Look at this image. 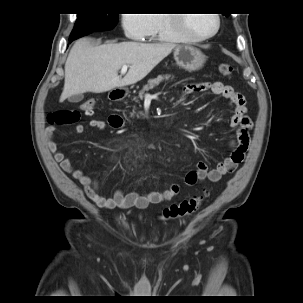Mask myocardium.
<instances>
[{
	"instance_id": "f54148a6",
	"label": "myocardium",
	"mask_w": 303,
	"mask_h": 303,
	"mask_svg": "<svg viewBox=\"0 0 303 303\" xmlns=\"http://www.w3.org/2000/svg\"><path fill=\"white\" fill-rule=\"evenodd\" d=\"M172 23L177 26V28L184 35L186 40L189 41H205L211 39L219 31L221 25V18L219 14H211L215 19V27L212 31L203 35H196L191 33L187 28V14H170Z\"/></svg>"
}]
</instances>
